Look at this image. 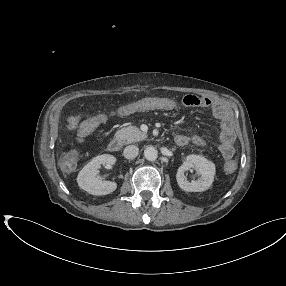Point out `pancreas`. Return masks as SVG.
<instances>
[{
	"label": "pancreas",
	"mask_w": 286,
	"mask_h": 286,
	"mask_svg": "<svg viewBox=\"0 0 286 286\" xmlns=\"http://www.w3.org/2000/svg\"><path fill=\"white\" fill-rule=\"evenodd\" d=\"M115 138L124 144H130L146 139L147 134L136 126H126L115 133Z\"/></svg>",
	"instance_id": "cf45deb5"
}]
</instances>
